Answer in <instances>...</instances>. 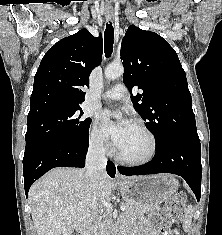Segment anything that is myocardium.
<instances>
[{
	"label": "myocardium",
	"mask_w": 222,
	"mask_h": 235,
	"mask_svg": "<svg viewBox=\"0 0 222 235\" xmlns=\"http://www.w3.org/2000/svg\"><path fill=\"white\" fill-rule=\"evenodd\" d=\"M133 125L140 128L141 130H143L151 139L152 150H151L150 154L143 159L134 160V159H128V158L122 156L117 149L116 150V158L120 162L127 164V165L141 166V165H145V164L151 162L156 157V155L158 153L159 144H158V139H157L156 135L145 123H143L139 120H136L133 122Z\"/></svg>",
	"instance_id": "obj_1"
}]
</instances>
